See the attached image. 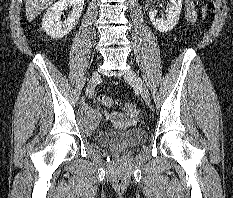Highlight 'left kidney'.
Instances as JSON below:
<instances>
[{
  "label": "left kidney",
  "mask_w": 233,
  "mask_h": 198,
  "mask_svg": "<svg viewBox=\"0 0 233 198\" xmlns=\"http://www.w3.org/2000/svg\"><path fill=\"white\" fill-rule=\"evenodd\" d=\"M170 4L166 9V18H157V11L151 9L149 11V18L154 27L163 33H166L173 29L178 23L179 16L182 9L183 0H169Z\"/></svg>",
  "instance_id": "5707ae66"
}]
</instances>
